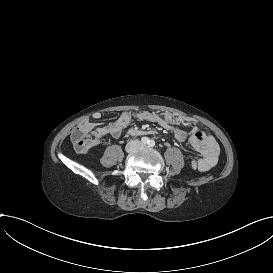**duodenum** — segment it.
<instances>
[{
  "mask_svg": "<svg viewBox=\"0 0 273 273\" xmlns=\"http://www.w3.org/2000/svg\"><path fill=\"white\" fill-rule=\"evenodd\" d=\"M147 133H151V132L150 131L141 130V129H137V128H131L128 131V134L132 135V136H140V135H144V134H147Z\"/></svg>",
  "mask_w": 273,
  "mask_h": 273,
  "instance_id": "duodenum-1",
  "label": "duodenum"
}]
</instances>
